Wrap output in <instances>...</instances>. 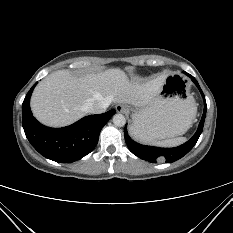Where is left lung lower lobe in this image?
<instances>
[{
	"label": "left lung lower lobe",
	"instance_id": "0a47b994",
	"mask_svg": "<svg viewBox=\"0 0 233 233\" xmlns=\"http://www.w3.org/2000/svg\"><path fill=\"white\" fill-rule=\"evenodd\" d=\"M186 75H188L192 81L195 83V85L198 87L200 90L203 100H204V112L201 118V121L199 123L198 129L194 136L188 140L186 143H184L181 146L175 147V148H159V147H153V146H146V145H141L134 140L130 138L127 132V127L125 126L124 134H125V140L126 144L129 148V150L136 155L137 157L152 162L156 163L157 161H166L167 163L174 162L180 158H182L184 155H186L196 144L197 140L199 139L202 130H203V125L205 121V116H206V101L204 94L196 81L194 77H192L190 74L184 72Z\"/></svg>",
	"mask_w": 233,
	"mask_h": 233
}]
</instances>
